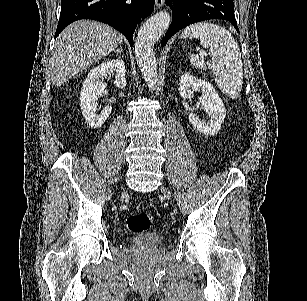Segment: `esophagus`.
I'll use <instances>...</instances> for the list:
<instances>
[{"label":"esophagus","instance_id":"1","mask_svg":"<svg viewBox=\"0 0 307 301\" xmlns=\"http://www.w3.org/2000/svg\"><path fill=\"white\" fill-rule=\"evenodd\" d=\"M165 0H155V4L157 7H162L164 5Z\"/></svg>","mask_w":307,"mask_h":301}]
</instances>
